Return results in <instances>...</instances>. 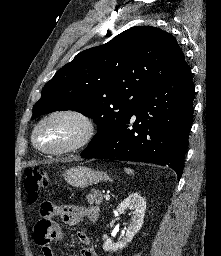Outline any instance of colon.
Here are the masks:
<instances>
[{
  "label": "colon",
  "instance_id": "1",
  "mask_svg": "<svg viewBox=\"0 0 221 256\" xmlns=\"http://www.w3.org/2000/svg\"><path fill=\"white\" fill-rule=\"evenodd\" d=\"M50 179L47 173L35 168L26 170L24 187L30 202L36 201L39 193L49 186Z\"/></svg>",
  "mask_w": 221,
  "mask_h": 256
}]
</instances>
